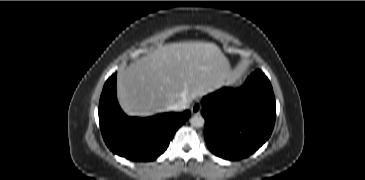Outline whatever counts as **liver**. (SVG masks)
Returning a JSON list of instances; mask_svg holds the SVG:
<instances>
[{"label":"liver","mask_w":365,"mask_h":180,"mask_svg":"<svg viewBox=\"0 0 365 180\" xmlns=\"http://www.w3.org/2000/svg\"><path fill=\"white\" fill-rule=\"evenodd\" d=\"M229 60L210 42L190 41L159 46L131 63L117 77V96L131 116H149L194 100L231 78Z\"/></svg>","instance_id":"liver-1"}]
</instances>
